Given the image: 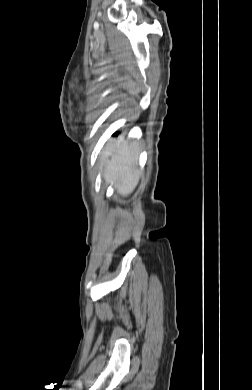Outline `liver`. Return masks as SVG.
<instances>
[{"mask_svg": "<svg viewBox=\"0 0 252 390\" xmlns=\"http://www.w3.org/2000/svg\"><path fill=\"white\" fill-rule=\"evenodd\" d=\"M138 154V143H128L123 137L111 139L102 151L104 179L114 185L121 196L131 194L139 182L140 171L136 167ZM106 156H111L108 162L104 161Z\"/></svg>", "mask_w": 252, "mask_h": 390, "instance_id": "1", "label": "liver"}]
</instances>
